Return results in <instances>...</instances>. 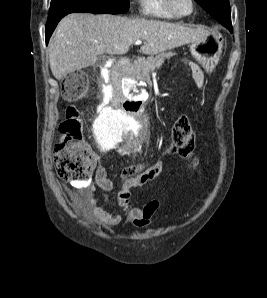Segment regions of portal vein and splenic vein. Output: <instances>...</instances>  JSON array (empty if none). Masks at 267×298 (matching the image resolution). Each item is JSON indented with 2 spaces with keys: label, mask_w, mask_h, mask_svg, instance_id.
Returning a JSON list of instances; mask_svg holds the SVG:
<instances>
[{
  "label": "portal vein and splenic vein",
  "mask_w": 267,
  "mask_h": 298,
  "mask_svg": "<svg viewBox=\"0 0 267 298\" xmlns=\"http://www.w3.org/2000/svg\"><path fill=\"white\" fill-rule=\"evenodd\" d=\"M141 43H142L141 40H137V41H135V45H140Z\"/></svg>",
  "instance_id": "portal-vein-and-splenic-vein-1"
}]
</instances>
